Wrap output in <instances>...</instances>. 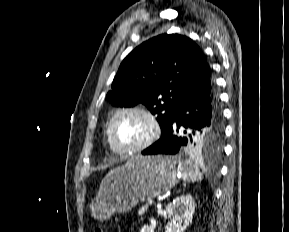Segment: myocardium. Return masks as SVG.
Segmentation results:
<instances>
[{
	"instance_id": "1",
	"label": "myocardium",
	"mask_w": 289,
	"mask_h": 232,
	"mask_svg": "<svg viewBox=\"0 0 289 232\" xmlns=\"http://www.w3.org/2000/svg\"><path fill=\"white\" fill-rule=\"evenodd\" d=\"M127 113L139 114L143 118H145L149 124V133L147 137L141 143L134 145V146H122L118 144L113 135V128H114L116 119L120 115L127 114ZM160 134H161V126L155 114L149 109L143 106H139V105L126 106V107H122L118 109L113 114L107 126V135H108L110 143L118 152H121V153H136V152L143 151L147 149L148 147H150L152 144H154L160 137Z\"/></svg>"
}]
</instances>
